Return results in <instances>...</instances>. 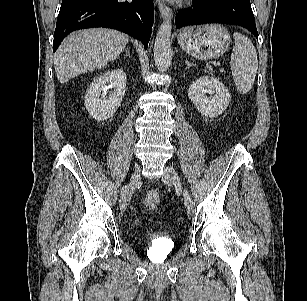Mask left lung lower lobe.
<instances>
[{"mask_svg":"<svg viewBox=\"0 0 307 301\" xmlns=\"http://www.w3.org/2000/svg\"><path fill=\"white\" fill-rule=\"evenodd\" d=\"M175 22L178 28L205 23L239 25L258 39L250 0H193V8L178 12Z\"/></svg>","mask_w":307,"mask_h":301,"instance_id":"left-lung-lower-lobe-1","label":"left lung lower lobe"}]
</instances>
